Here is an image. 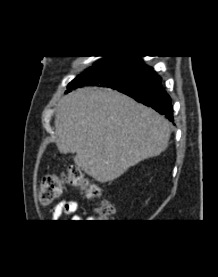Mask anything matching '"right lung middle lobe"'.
Returning <instances> with one entry per match:
<instances>
[{"label":"right lung middle lobe","instance_id":"1","mask_svg":"<svg viewBox=\"0 0 218 277\" xmlns=\"http://www.w3.org/2000/svg\"><path fill=\"white\" fill-rule=\"evenodd\" d=\"M105 57L89 67L84 74L78 75L76 79L72 80L66 93L77 88L79 81L87 74L96 73L100 78L101 86L115 89L137 81L151 70L142 59L136 56Z\"/></svg>","mask_w":218,"mask_h":277}]
</instances>
